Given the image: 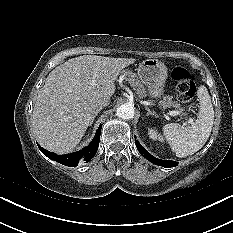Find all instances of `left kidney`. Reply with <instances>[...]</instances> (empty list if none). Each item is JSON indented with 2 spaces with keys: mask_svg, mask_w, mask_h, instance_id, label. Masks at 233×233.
<instances>
[{
  "mask_svg": "<svg viewBox=\"0 0 233 233\" xmlns=\"http://www.w3.org/2000/svg\"><path fill=\"white\" fill-rule=\"evenodd\" d=\"M149 137L153 140L163 141V137L157 132L155 129H149L148 131Z\"/></svg>",
  "mask_w": 233,
  "mask_h": 233,
  "instance_id": "1",
  "label": "left kidney"
}]
</instances>
